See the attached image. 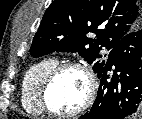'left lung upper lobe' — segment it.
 <instances>
[{
    "instance_id": "left-lung-upper-lobe-1",
    "label": "left lung upper lobe",
    "mask_w": 142,
    "mask_h": 119,
    "mask_svg": "<svg viewBox=\"0 0 142 119\" xmlns=\"http://www.w3.org/2000/svg\"><path fill=\"white\" fill-rule=\"evenodd\" d=\"M138 0H54L43 15L30 53L78 52L99 74L102 47L113 49L128 33L142 26ZM94 33L95 38L88 36Z\"/></svg>"
}]
</instances>
